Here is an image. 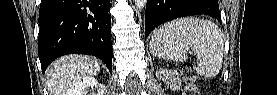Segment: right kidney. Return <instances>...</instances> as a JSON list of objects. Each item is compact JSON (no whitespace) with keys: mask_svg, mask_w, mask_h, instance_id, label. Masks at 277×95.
<instances>
[{"mask_svg":"<svg viewBox=\"0 0 277 95\" xmlns=\"http://www.w3.org/2000/svg\"><path fill=\"white\" fill-rule=\"evenodd\" d=\"M98 82L94 77L83 78L75 84L72 90H70L69 95H86V88L88 87H98ZM98 95H103V88L98 91Z\"/></svg>","mask_w":277,"mask_h":95,"instance_id":"obj_1","label":"right kidney"}]
</instances>
